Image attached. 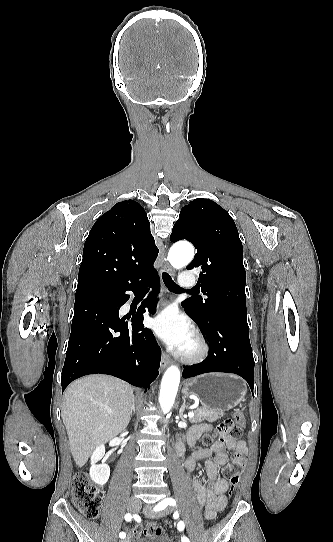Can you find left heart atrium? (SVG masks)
<instances>
[{"instance_id": "obj_1", "label": "left heart atrium", "mask_w": 333, "mask_h": 542, "mask_svg": "<svg viewBox=\"0 0 333 542\" xmlns=\"http://www.w3.org/2000/svg\"><path fill=\"white\" fill-rule=\"evenodd\" d=\"M152 327L168 348L175 353L182 352L195 333L190 319L174 306L161 311L153 320Z\"/></svg>"}]
</instances>
